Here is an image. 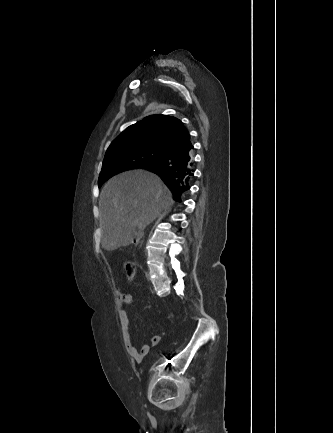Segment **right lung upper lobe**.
Here are the masks:
<instances>
[{"instance_id": "right-lung-upper-lobe-1", "label": "right lung upper lobe", "mask_w": 333, "mask_h": 433, "mask_svg": "<svg viewBox=\"0 0 333 433\" xmlns=\"http://www.w3.org/2000/svg\"><path fill=\"white\" fill-rule=\"evenodd\" d=\"M190 135L181 120L151 115L125 129L109 146L106 155L123 148H157L167 154L190 145Z\"/></svg>"}]
</instances>
